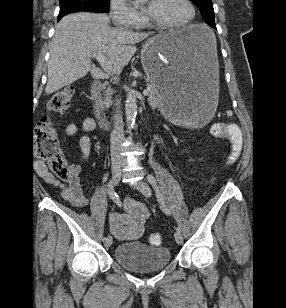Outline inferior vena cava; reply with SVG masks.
<instances>
[{
  "label": "inferior vena cava",
  "instance_id": "inferior-vena-cava-1",
  "mask_svg": "<svg viewBox=\"0 0 286 308\" xmlns=\"http://www.w3.org/2000/svg\"><path fill=\"white\" fill-rule=\"evenodd\" d=\"M115 106L116 110L113 116L114 125L110 134V143L112 156L116 159L118 158V156L116 155V150L121 146L122 142L124 141V130L119 100L115 103Z\"/></svg>",
  "mask_w": 286,
  "mask_h": 308
}]
</instances>
